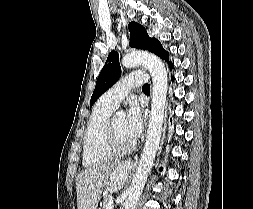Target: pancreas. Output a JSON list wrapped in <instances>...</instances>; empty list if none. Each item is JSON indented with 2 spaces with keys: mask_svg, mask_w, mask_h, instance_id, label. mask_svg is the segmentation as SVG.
<instances>
[{
  "mask_svg": "<svg viewBox=\"0 0 253 209\" xmlns=\"http://www.w3.org/2000/svg\"><path fill=\"white\" fill-rule=\"evenodd\" d=\"M110 196L107 195L103 198L102 209H107L109 204Z\"/></svg>",
  "mask_w": 253,
  "mask_h": 209,
  "instance_id": "cf45deb5",
  "label": "pancreas"
}]
</instances>
